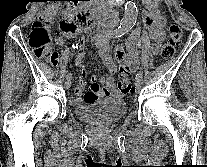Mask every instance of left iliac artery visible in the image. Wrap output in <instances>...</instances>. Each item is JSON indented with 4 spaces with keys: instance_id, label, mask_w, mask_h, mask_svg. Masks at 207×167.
I'll list each match as a JSON object with an SVG mask.
<instances>
[{
    "instance_id": "44dca946",
    "label": "left iliac artery",
    "mask_w": 207,
    "mask_h": 167,
    "mask_svg": "<svg viewBox=\"0 0 207 167\" xmlns=\"http://www.w3.org/2000/svg\"><path fill=\"white\" fill-rule=\"evenodd\" d=\"M122 35L121 34H117L115 37H121ZM136 77H141L142 78V73L141 72H138L136 74Z\"/></svg>"
}]
</instances>
